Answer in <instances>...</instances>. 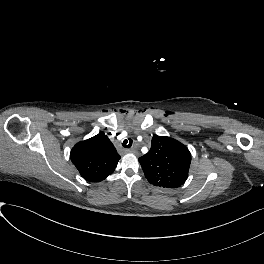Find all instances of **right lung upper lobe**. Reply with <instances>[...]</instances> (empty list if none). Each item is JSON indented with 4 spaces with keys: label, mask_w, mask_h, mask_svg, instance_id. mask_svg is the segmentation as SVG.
<instances>
[{
    "label": "right lung upper lobe",
    "mask_w": 264,
    "mask_h": 264,
    "mask_svg": "<svg viewBox=\"0 0 264 264\" xmlns=\"http://www.w3.org/2000/svg\"><path fill=\"white\" fill-rule=\"evenodd\" d=\"M70 158L85 180L100 182L113 173L120 156L108 137L100 132L77 143L70 152Z\"/></svg>",
    "instance_id": "right-lung-upper-lobe-1"
}]
</instances>
